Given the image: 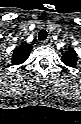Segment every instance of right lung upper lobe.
I'll return each instance as SVG.
<instances>
[{"label":"right lung upper lobe","instance_id":"1","mask_svg":"<svg viewBox=\"0 0 81 124\" xmlns=\"http://www.w3.org/2000/svg\"><path fill=\"white\" fill-rule=\"evenodd\" d=\"M32 48L33 46L31 44H23L19 47H16L12 55V61H11L12 64L20 65L24 63L29 57V54L31 53Z\"/></svg>","mask_w":81,"mask_h":124}]
</instances>
